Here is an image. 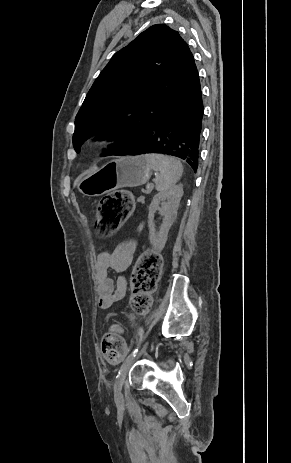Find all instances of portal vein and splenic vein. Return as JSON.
<instances>
[{"label": "portal vein and splenic vein", "mask_w": 291, "mask_h": 463, "mask_svg": "<svg viewBox=\"0 0 291 463\" xmlns=\"http://www.w3.org/2000/svg\"><path fill=\"white\" fill-rule=\"evenodd\" d=\"M152 190V185L150 184L147 188V190L145 191V193H149L150 191Z\"/></svg>", "instance_id": "1"}]
</instances>
